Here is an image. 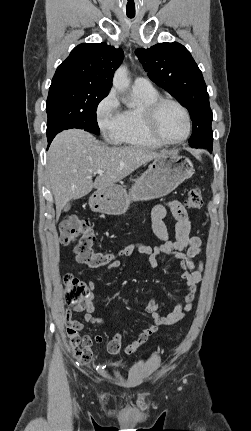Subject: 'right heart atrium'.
Listing matches in <instances>:
<instances>
[{"mask_svg": "<svg viewBox=\"0 0 251 431\" xmlns=\"http://www.w3.org/2000/svg\"><path fill=\"white\" fill-rule=\"evenodd\" d=\"M122 115L117 95L111 90L98 102L95 109L97 125L106 138H115L121 127Z\"/></svg>", "mask_w": 251, "mask_h": 431, "instance_id": "d8ad5b80", "label": "right heart atrium"}]
</instances>
